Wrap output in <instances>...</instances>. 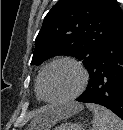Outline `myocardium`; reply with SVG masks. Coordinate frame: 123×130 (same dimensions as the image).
I'll return each instance as SVG.
<instances>
[{
	"label": "myocardium",
	"mask_w": 123,
	"mask_h": 130,
	"mask_svg": "<svg viewBox=\"0 0 123 130\" xmlns=\"http://www.w3.org/2000/svg\"><path fill=\"white\" fill-rule=\"evenodd\" d=\"M63 62L70 63L79 70V72L81 74V81H80L79 87L70 96H67V97L61 98V99H50L45 95L44 87H43L45 73L51 66L58 64V63H63ZM88 80H89L88 71L80 61H78L77 59L70 57V56L57 57V58L51 60L49 63H47L40 71V75H39L40 98L43 101L51 103V104H63V103L73 101L74 99L79 97L82 94V92L85 90V88L88 84Z\"/></svg>",
	"instance_id": "myocardium-1"
}]
</instances>
